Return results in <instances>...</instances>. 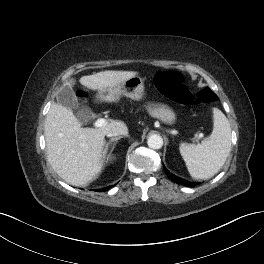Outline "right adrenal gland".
Here are the masks:
<instances>
[{
    "label": "right adrenal gland",
    "instance_id": "obj_1",
    "mask_svg": "<svg viewBox=\"0 0 264 264\" xmlns=\"http://www.w3.org/2000/svg\"><path fill=\"white\" fill-rule=\"evenodd\" d=\"M122 138V136L119 137H115V138H111V140L109 142H107V144L105 145V150L107 151L109 146L113 143L112 147H111V151L110 153H112V151L114 150V147L116 145V143L118 142V140H120Z\"/></svg>",
    "mask_w": 264,
    "mask_h": 264
}]
</instances>
